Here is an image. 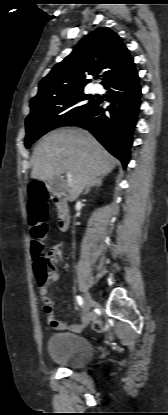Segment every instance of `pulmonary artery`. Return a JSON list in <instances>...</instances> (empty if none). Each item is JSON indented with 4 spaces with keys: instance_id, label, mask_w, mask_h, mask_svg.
I'll return each instance as SVG.
<instances>
[{
    "instance_id": "obj_1",
    "label": "pulmonary artery",
    "mask_w": 168,
    "mask_h": 415,
    "mask_svg": "<svg viewBox=\"0 0 168 415\" xmlns=\"http://www.w3.org/2000/svg\"><path fill=\"white\" fill-rule=\"evenodd\" d=\"M92 90H93V92H95V93H99V92H101V91H102V87H101L100 85L96 84V85H94V86L92 87Z\"/></svg>"
}]
</instances>
